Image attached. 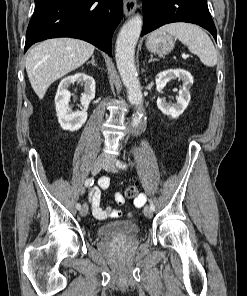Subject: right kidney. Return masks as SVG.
I'll list each match as a JSON object with an SVG mask.
<instances>
[{"instance_id": "obj_1", "label": "right kidney", "mask_w": 247, "mask_h": 296, "mask_svg": "<svg viewBox=\"0 0 247 296\" xmlns=\"http://www.w3.org/2000/svg\"><path fill=\"white\" fill-rule=\"evenodd\" d=\"M75 82L84 84V93L81 97V110L73 111L69 106L71 93L68 87ZM95 97V81L85 73H76L62 79L55 96V106L58 122L64 130L77 131L87 120L89 103Z\"/></svg>"}]
</instances>
